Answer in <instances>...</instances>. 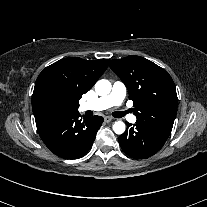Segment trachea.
<instances>
[{"instance_id": "obj_1", "label": "trachea", "mask_w": 207, "mask_h": 207, "mask_svg": "<svg viewBox=\"0 0 207 207\" xmlns=\"http://www.w3.org/2000/svg\"><path fill=\"white\" fill-rule=\"evenodd\" d=\"M115 116H116L117 118H120V117H123V114H122L121 112H116V113H115Z\"/></svg>"}]
</instances>
